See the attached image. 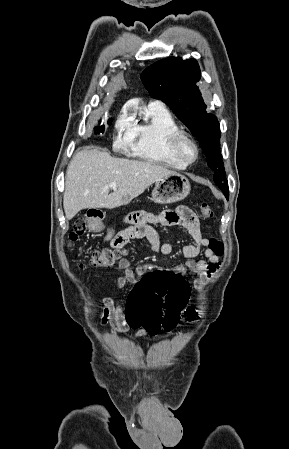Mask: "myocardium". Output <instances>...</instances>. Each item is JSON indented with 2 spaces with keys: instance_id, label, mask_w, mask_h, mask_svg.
Here are the masks:
<instances>
[{
  "instance_id": "obj_1",
  "label": "myocardium",
  "mask_w": 289,
  "mask_h": 449,
  "mask_svg": "<svg viewBox=\"0 0 289 449\" xmlns=\"http://www.w3.org/2000/svg\"><path fill=\"white\" fill-rule=\"evenodd\" d=\"M168 144L172 155L187 165L194 163L199 157L197 143L191 136L181 130L169 137ZM185 146H189L192 149V155L188 156L186 154Z\"/></svg>"
}]
</instances>
